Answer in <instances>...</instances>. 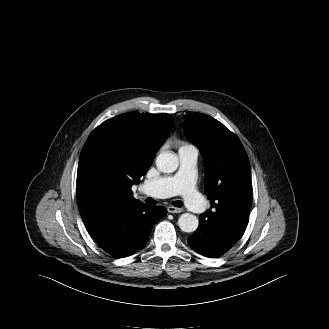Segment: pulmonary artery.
<instances>
[{
    "label": "pulmonary artery",
    "mask_w": 329,
    "mask_h": 329,
    "mask_svg": "<svg viewBox=\"0 0 329 329\" xmlns=\"http://www.w3.org/2000/svg\"><path fill=\"white\" fill-rule=\"evenodd\" d=\"M179 170L170 176H162L155 180L147 181L142 186V192L152 197H171L181 195L187 208L194 213L203 212L206 203L197 192L196 164L199 150L194 145H186L179 149Z\"/></svg>",
    "instance_id": "e3ab8cb5"
}]
</instances>
